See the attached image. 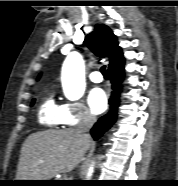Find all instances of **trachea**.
<instances>
[{
  "mask_svg": "<svg viewBox=\"0 0 178 186\" xmlns=\"http://www.w3.org/2000/svg\"><path fill=\"white\" fill-rule=\"evenodd\" d=\"M101 73L103 74V76L106 78L107 74H106V66H102L101 67Z\"/></svg>",
  "mask_w": 178,
  "mask_h": 186,
  "instance_id": "3493384b",
  "label": "trachea"
}]
</instances>
